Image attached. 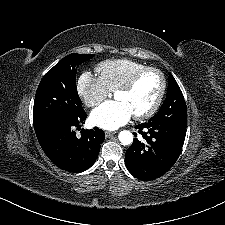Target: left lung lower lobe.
<instances>
[{"instance_id": "0a47b994", "label": "left lung lower lobe", "mask_w": 225, "mask_h": 225, "mask_svg": "<svg viewBox=\"0 0 225 225\" xmlns=\"http://www.w3.org/2000/svg\"><path fill=\"white\" fill-rule=\"evenodd\" d=\"M137 129L147 142L134 139L126 151V167L140 180H154L164 175L178 159L186 127L147 122L139 124ZM134 135L136 137V133Z\"/></svg>"}]
</instances>
